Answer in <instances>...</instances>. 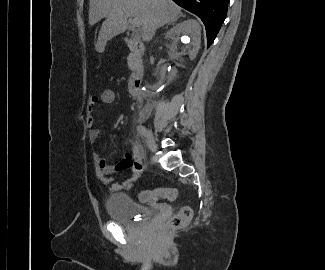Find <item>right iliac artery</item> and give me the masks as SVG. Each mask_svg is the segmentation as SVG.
Returning a JSON list of instances; mask_svg holds the SVG:
<instances>
[{"instance_id":"right-iliac-artery-1","label":"right iliac artery","mask_w":325,"mask_h":270,"mask_svg":"<svg viewBox=\"0 0 325 270\" xmlns=\"http://www.w3.org/2000/svg\"><path fill=\"white\" fill-rule=\"evenodd\" d=\"M145 131H146V129L143 126H138L137 127V132H138L139 135L145 136Z\"/></svg>"}]
</instances>
